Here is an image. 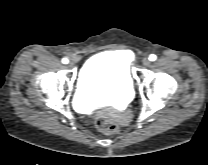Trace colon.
<instances>
[{"mask_svg": "<svg viewBox=\"0 0 208 165\" xmlns=\"http://www.w3.org/2000/svg\"><path fill=\"white\" fill-rule=\"evenodd\" d=\"M97 128L105 134H114L118 131L116 122L105 114H99L96 119Z\"/></svg>", "mask_w": 208, "mask_h": 165, "instance_id": "obj_1", "label": "colon"}]
</instances>
